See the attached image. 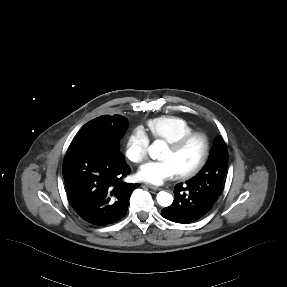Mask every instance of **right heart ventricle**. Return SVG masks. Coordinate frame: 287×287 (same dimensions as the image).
Wrapping results in <instances>:
<instances>
[{"label":"right heart ventricle","instance_id":"1","mask_svg":"<svg viewBox=\"0 0 287 287\" xmlns=\"http://www.w3.org/2000/svg\"><path fill=\"white\" fill-rule=\"evenodd\" d=\"M146 126L152 138L162 140L167 144L195 131L186 118L175 115L150 119L146 122Z\"/></svg>","mask_w":287,"mask_h":287}]
</instances>
